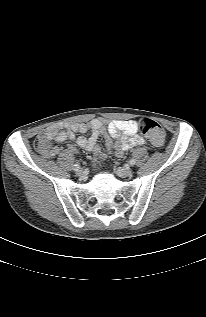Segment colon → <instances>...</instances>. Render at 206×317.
Instances as JSON below:
<instances>
[{"instance_id":"obj_1","label":"colon","mask_w":206,"mask_h":317,"mask_svg":"<svg viewBox=\"0 0 206 317\" xmlns=\"http://www.w3.org/2000/svg\"><path fill=\"white\" fill-rule=\"evenodd\" d=\"M138 126L153 145L159 146L163 143L165 132L159 123L149 118H142L138 121ZM34 146L37 150L43 152H48L51 148L49 141L42 137L36 139Z\"/></svg>"}]
</instances>
